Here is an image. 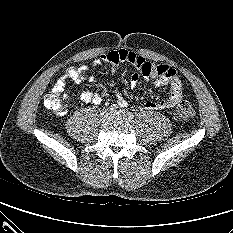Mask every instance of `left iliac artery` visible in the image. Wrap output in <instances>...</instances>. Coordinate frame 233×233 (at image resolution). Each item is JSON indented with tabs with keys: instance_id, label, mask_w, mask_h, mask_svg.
Instances as JSON below:
<instances>
[{
	"instance_id": "44dca946",
	"label": "left iliac artery",
	"mask_w": 233,
	"mask_h": 233,
	"mask_svg": "<svg viewBox=\"0 0 233 233\" xmlns=\"http://www.w3.org/2000/svg\"><path fill=\"white\" fill-rule=\"evenodd\" d=\"M127 117H128V119L132 120L134 118V114L131 112H128Z\"/></svg>"
}]
</instances>
